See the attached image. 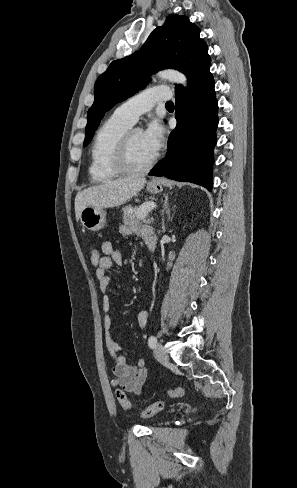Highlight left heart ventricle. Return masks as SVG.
<instances>
[{
    "label": "left heart ventricle",
    "instance_id": "1",
    "mask_svg": "<svg viewBox=\"0 0 297 488\" xmlns=\"http://www.w3.org/2000/svg\"><path fill=\"white\" fill-rule=\"evenodd\" d=\"M154 155L143 140L141 131H134L129 146V163L133 167L145 166Z\"/></svg>",
    "mask_w": 297,
    "mask_h": 488
}]
</instances>
